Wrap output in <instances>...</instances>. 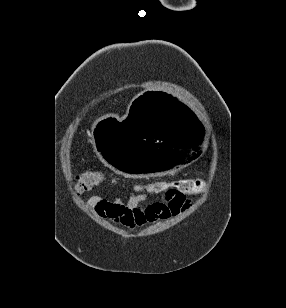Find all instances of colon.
I'll list each match as a JSON object with an SVG mask.
<instances>
[{
	"instance_id": "5ec220e1",
	"label": "colon",
	"mask_w": 286,
	"mask_h": 308,
	"mask_svg": "<svg viewBox=\"0 0 286 308\" xmlns=\"http://www.w3.org/2000/svg\"><path fill=\"white\" fill-rule=\"evenodd\" d=\"M104 181V175L100 171H87L76 177L75 189L79 193L92 190ZM206 184L201 179H181L176 181H157L149 184V190L153 193L166 194L171 190L198 193L205 189Z\"/></svg>"
}]
</instances>
